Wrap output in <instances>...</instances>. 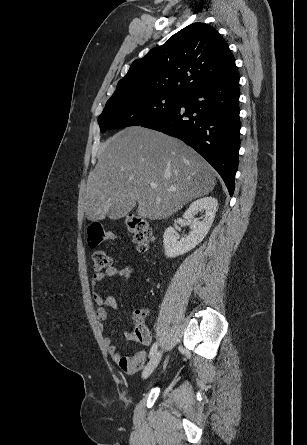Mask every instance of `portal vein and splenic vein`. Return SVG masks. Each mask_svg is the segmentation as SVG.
Returning <instances> with one entry per match:
<instances>
[{
    "label": "portal vein and splenic vein",
    "instance_id": "portal-vein-and-splenic-vein-1",
    "mask_svg": "<svg viewBox=\"0 0 307 445\" xmlns=\"http://www.w3.org/2000/svg\"><path fill=\"white\" fill-rule=\"evenodd\" d=\"M150 186H152V188H156L157 182H150ZM168 190H175V188H168Z\"/></svg>",
    "mask_w": 307,
    "mask_h": 445
}]
</instances>
